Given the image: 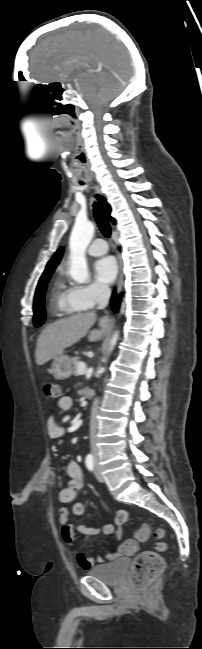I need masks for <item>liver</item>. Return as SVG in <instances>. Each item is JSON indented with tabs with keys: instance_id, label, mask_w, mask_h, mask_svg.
<instances>
[{
	"instance_id": "6515ba94",
	"label": "liver",
	"mask_w": 202,
	"mask_h": 649,
	"mask_svg": "<svg viewBox=\"0 0 202 649\" xmlns=\"http://www.w3.org/2000/svg\"><path fill=\"white\" fill-rule=\"evenodd\" d=\"M96 321L95 312L81 313L60 319L44 328L38 337L35 350L37 365H44L64 352V350L84 337ZM111 320L104 316L99 319V330H92L88 340H100L110 327Z\"/></svg>"
}]
</instances>
